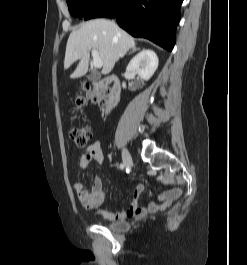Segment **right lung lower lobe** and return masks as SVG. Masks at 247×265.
<instances>
[{"instance_id":"obj_1","label":"right lung lower lobe","mask_w":247,"mask_h":265,"mask_svg":"<svg viewBox=\"0 0 247 265\" xmlns=\"http://www.w3.org/2000/svg\"><path fill=\"white\" fill-rule=\"evenodd\" d=\"M183 0H103L84 16L116 17L117 23L134 37L147 38L171 51Z\"/></svg>"}]
</instances>
